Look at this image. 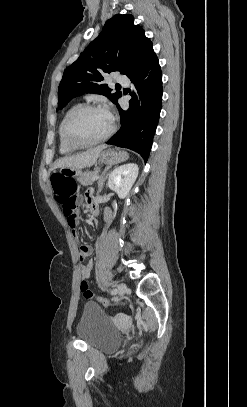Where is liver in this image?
<instances>
[{
    "mask_svg": "<svg viewBox=\"0 0 247 407\" xmlns=\"http://www.w3.org/2000/svg\"><path fill=\"white\" fill-rule=\"evenodd\" d=\"M105 148H106L105 145H100L85 152L61 158L55 163L54 169L56 168L82 169L86 167H91L97 161L101 151Z\"/></svg>",
    "mask_w": 247,
    "mask_h": 407,
    "instance_id": "1",
    "label": "liver"
}]
</instances>
